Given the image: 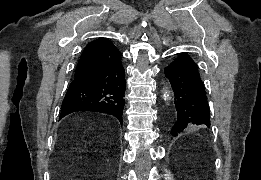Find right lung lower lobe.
<instances>
[{"label":"right lung lower lobe","mask_w":261,"mask_h":180,"mask_svg":"<svg viewBox=\"0 0 261 180\" xmlns=\"http://www.w3.org/2000/svg\"><path fill=\"white\" fill-rule=\"evenodd\" d=\"M125 88L121 61L92 68L71 82L61 106L60 119L73 112L96 111L113 115L122 124Z\"/></svg>","instance_id":"1"}]
</instances>
